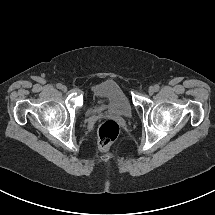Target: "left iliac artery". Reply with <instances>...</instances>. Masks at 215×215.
<instances>
[{"label":"left iliac artery","mask_w":215,"mask_h":215,"mask_svg":"<svg viewBox=\"0 0 215 215\" xmlns=\"http://www.w3.org/2000/svg\"><path fill=\"white\" fill-rule=\"evenodd\" d=\"M154 88H155L156 91H158L159 90V85H157V84L154 85Z\"/></svg>","instance_id":"left-iliac-artery-1"}]
</instances>
